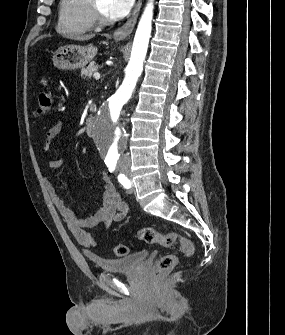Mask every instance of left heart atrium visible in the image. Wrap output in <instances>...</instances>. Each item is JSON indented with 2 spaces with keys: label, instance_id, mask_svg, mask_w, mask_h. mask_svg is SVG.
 <instances>
[{
  "label": "left heart atrium",
  "instance_id": "39dd6f15",
  "mask_svg": "<svg viewBox=\"0 0 285 335\" xmlns=\"http://www.w3.org/2000/svg\"><path fill=\"white\" fill-rule=\"evenodd\" d=\"M103 4L108 17L117 21L131 9L134 1H103Z\"/></svg>",
  "mask_w": 285,
  "mask_h": 335
}]
</instances>
